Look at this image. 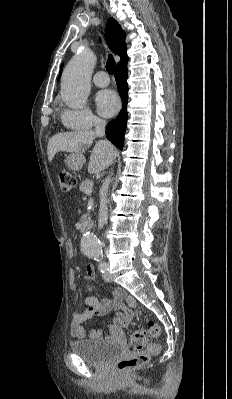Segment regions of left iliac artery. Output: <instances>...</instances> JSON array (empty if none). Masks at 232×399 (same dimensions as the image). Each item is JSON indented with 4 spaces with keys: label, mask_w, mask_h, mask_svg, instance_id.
I'll return each instance as SVG.
<instances>
[{
    "label": "left iliac artery",
    "mask_w": 232,
    "mask_h": 399,
    "mask_svg": "<svg viewBox=\"0 0 232 399\" xmlns=\"http://www.w3.org/2000/svg\"><path fill=\"white\" fill-rule=\"evenodd\" d=\"M91 256L99 262V269L102 273L109 270L108 264L104 261L105 255L103 253H91Z\"/></svg>",
    "instance_id": "44dca946"
}]
</instances>
